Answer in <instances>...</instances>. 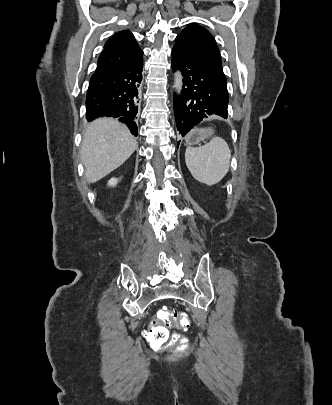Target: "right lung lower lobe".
Returning a JSON list of instances; mask_svg holds the SVG:
<instances>
[{"label": "right lung lower lobe", "mask_w": 332, "mask_h": 405, "mask_svg": "<svg viewBox=\"0 0 332 405\" xmlns=\"http://www.w3.org/2000/svg\"><path fill=\"white\" fill-rule=\"evenodd\" d=\"M143 58L122 68L96 71L86 97V119L119 117L137 136L136 116L140 103Z\"/></svg>", "instance_id": "1"}]
</instances>
